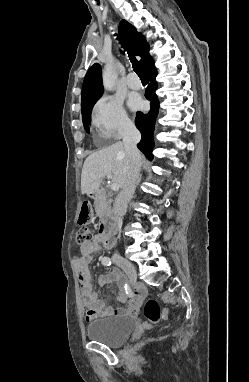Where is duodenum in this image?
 <instances>
[{"label": "duodenum", "instance_id": "410a0bca", "mask_svg": "<svg viewBox=\"0 0 249 382\" xmlns=\"http://www.w3.org/2000/svg\"><path fill=\"white\" fill-rule=\"evenodd\" d=\"M91 193H92L91 197L94 199L100 196V190L97 188L93 189ZM117 228H118V222L116 219L112 217H107L103 219L99 225L100 232L107 238H112L114 234L116 233Z\"/></svg>", "mask_w": 249, "mask_h": 382}]
</instances>
